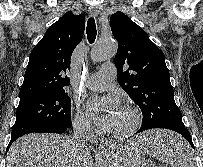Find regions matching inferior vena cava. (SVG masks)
Wrapping results in <instances>:
<instances>
[{
    "instance_id": "602c4592",
    "label": "inferior vena cava",
    "mask_w": 203,
    "mask_h": 167,
    "mask_svg": "<svg viewBox=\"0 0 203 167\" xmlns=\"http://www.w3.org/2000/svg\"><path fill=\"white\" fill-rule=\"evenodd\" d=\"M74 144L80 151H87V142L93 138L90 123L86 120L77 121L73 124Z\"/></svg>"
}]
</instances>
